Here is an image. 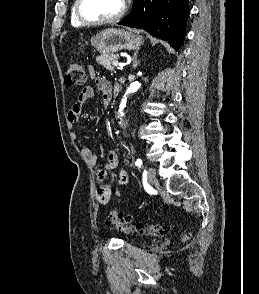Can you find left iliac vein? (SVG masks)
I'll return each mask as SVG.
<instances>
[{
    "instance_id": "4c4485c4",
    "label": "left iliac vein",
    "mask_w": 259,
    "mask_h": 294,
    "mask_svg": "<svg viewBox=\"0 0 259 294\" xmlns=\"http://www.w3.org/2000/svg\"><path fill=\"white\" fill-rule=\"evenodd\" d=\"M147 179L150 184H153L156 181V170L153 167H150L147 172Z\"/></svg>"
}]
</instances>
